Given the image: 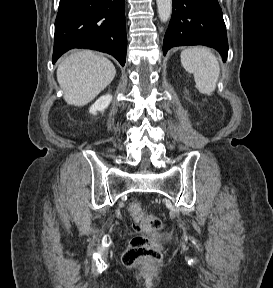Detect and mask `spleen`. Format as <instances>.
Wrapping results in <instances>:
<instances>
[{"mask_svg": "<svg viewBox=\"0 0 273 288\" xmlns=\"http://www.w3.org/2000/svg\"><path fill=\"white\" fill-rule=\"evenodd\" d=\"M181 63L186 71L193 73L200 93L209 95L216 89L220 74L219 62L206 47H190L181 52Z\"/></svg>", "mask_w": 273, "mask_h": 288, "instance_id": "spleen-1", "label": "spleen"}]
</instances>
